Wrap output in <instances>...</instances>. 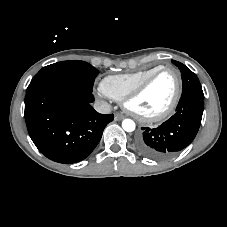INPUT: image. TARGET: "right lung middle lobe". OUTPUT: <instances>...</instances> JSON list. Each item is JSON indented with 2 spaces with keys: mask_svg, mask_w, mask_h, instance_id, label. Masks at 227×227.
Here are the masks:
<instances>
[{
  "mask_svg": "<svg viewBox=\"0 0 227 227\" xmlns=\"http://www.w3.org/2000/svg\"><path fill=\"white\" fill-rule=\"evenodd\" d=\"M99 71L84 61H62L43 67L31 80L30 85L38 82L60 79L77 84L92 91L95 77Z\"/></svg>",
  "mask_w": 227,
  "mask_h": 227,
  "instance_id": "obj_1",
  "label": "right lung middle lobe"
}]
</instances>
